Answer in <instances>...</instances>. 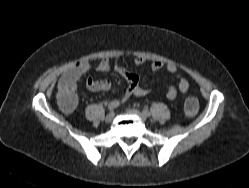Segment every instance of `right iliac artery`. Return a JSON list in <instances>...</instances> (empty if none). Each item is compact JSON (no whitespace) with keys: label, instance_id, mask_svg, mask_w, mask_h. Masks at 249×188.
Here are the masks:
<instances>
[{"label":"right iliac artery","instance_id":"right-iliac-artery-1","mask_svg":"<svg viewBox=\"0 0 249 188\" xmlns=\"http://www.w3.org/2000/svg\"><path fill=\"white\" fill-rule=\"evenodd\" d=\"M120 105L119 101L115 100L108 104V110L113 111Z\"/></svg>","mask_w":249,"mask_h":188}]
</instances>
